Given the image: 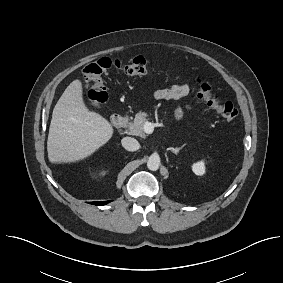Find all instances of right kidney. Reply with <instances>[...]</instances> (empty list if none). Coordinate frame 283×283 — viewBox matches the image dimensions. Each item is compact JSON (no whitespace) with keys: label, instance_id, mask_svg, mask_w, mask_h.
Returning a JSON list of instances; mask_svg holds the SVG:
<instances>
[{"label":"right kidney","instance_id":"ca27d5eb","mask_svg":"<svg viewBox=\"0 0 283 283\" xmlns=\"http://www.w3.org/2000/svg\"><path fill=\"white\" fill-rule=\"evenodd\" d=\"M100 174H101V175H105V174H106V172H101Z\"/></svg>","mask_w":283,"mask_h":283}]
</instances>
